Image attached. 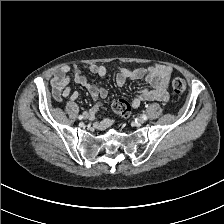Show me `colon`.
Returning <instances> with one entry per match:
<instances>
[{
	"mask_svg": "<svg viewBox=\"0 0 224 224\" xmlns=\"http://www.w3.org/2000/svg\"><path fill=\"white\" fill-rule=\"evenodd\" d=\"M171 86L173 92L178 95H182L186 91V81L181 77H175L172 82ZM112 108L114 112L118 113L123 117H128L130 114V105L125 100H117L113 103Z\"/></svg>",
	"mask_w": 224,
	"mask_h": 224,
	"instance_id": "1",
	"label": "colon"
}]
</instances>
